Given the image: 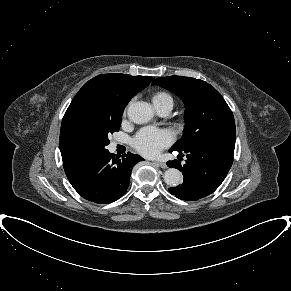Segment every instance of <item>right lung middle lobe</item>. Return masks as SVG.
Segmentation results:
<instances>
[{
    "mask_svg": "<svg viewBox=\"0 0 291 291\" xmlns=\"http://www.w3.org/2000/svg\"><path fill=\"white\" fill-rule=\"evenodd\" d=\"M122 113L110 105L79 110L62 127L60 145L74 157L91 161L107 151L108 135L119 130Z\"/></svg>",
    "mask_w": 291,
    "mask_h": 291,
    "instance_id": "right-lung-middle-lobe-1",
    "label": "right lung middle lobe"
}]
</instances>
